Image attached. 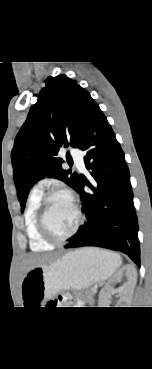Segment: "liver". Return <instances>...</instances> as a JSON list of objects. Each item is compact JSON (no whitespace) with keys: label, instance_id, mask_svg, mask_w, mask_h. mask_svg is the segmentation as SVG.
Masks as SVG:
<instances>
[{"label":"liver","instance_id":"6515ba94","mask_svg":"<svg viewBox=\"0 0 152 369\" xmlns=\"http://www.w3.org/2000/svg\"><path fill=\"white\" fill-rule=\"evenodd\" d=\"M52 259L51 256H39L33 255L27 258L26 264L28 265L27 271L35 266L44 265Z\"/></svg>","mask_w":152,"mask_h":369}]
</instances>
